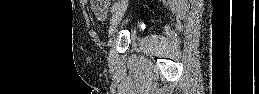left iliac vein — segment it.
<instances>
[{"mask_svg":"<svg viewBox=\"0 0 259 94\" xmlns=\"http://www.w3.org/2000/svg\"><path fill=\"white\" fill-rule=\"evenodd\" d=\"M127 7V1H124L119 8L115 11V13L112 16L111 19V30H110V35H112L116 25L119 23L121 20L122 15L124 14V11Z\"/></svg>","mask_w":259,"mask_h":94,"instance_id":"obj_1","label":"left iliac vein"}]
</instances>
